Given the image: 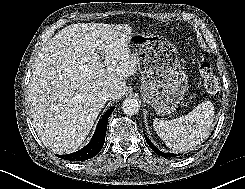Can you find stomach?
Listing matches in <instances>:
<instances>
[{"mask_svg": "<svg viewBox=\"0 0 245 189\" xmlns=\"http://www.w3.org/2000/svg\"><path fill=\"white\" fill-rule=\"evenodd\" d=\"M128 48L137 59L144 101L158 115L173 112L188 90L177 49L167 40L142 33L131 35Z\"/></svg>", "mask_w": 245, "mask_h": 189, "instance_id": "stomach-1", "label": "stomach"}]
</instances>
